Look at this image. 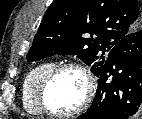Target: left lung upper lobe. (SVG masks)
<instances>
[{
    "label": "left lung upper lobe",
    "instance_id": "1",
    "mask_svg": "<svg viewBox=\"0 0 142 119\" xmlns=\"http://www.w3.org/2000/svg\"><path fill=\"white\" fill-rule=\"evenodd\" d=\"M141 27L138 0H54L27 58L77 55L98 75L105 62L104 53Z\"/></svg>",
    "mask_w": 142,
    "mask_h": 119
}]
</instances>
